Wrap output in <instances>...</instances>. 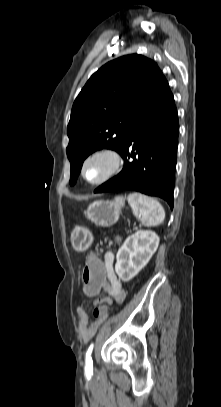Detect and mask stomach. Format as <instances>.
<instances>
[{
    "instance_id": "0dacf381",
    "label": "stomach",
    "mask_w": 221,
    "mask_h": 407,
    "mask_svg": "<svg viewBox=\"0 0 221 407\" xmlns=\"http://www.w3.org/2000/svg\"><path fill=\"white\" fill-rule=\"evenodd\" d=\"M125 205V198L117 196L113 200H97L91 203L84 212L94 224L108 227L115 224ZM92 233L85 227L76 226L71 234L72 246L77 251L86 250L92 243Z\"/></svg>"
}]
</instances>
